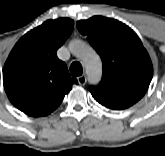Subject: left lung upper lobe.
<instances>
[{"instance_id":"left-lung-upper-lobe-1","label":"left lung upper lobe","mask_w":165,"mask_h":156,"mask_svg":"<svg viewBox=\"0 0 165 156\" xmlns=\"http://www.w3.org/2000/svg\"><path fill=\"white\" fill-rule=\"evenodd\" d=\"M76 26L103 62L101 82L89 87L95 100L114 110L138 102L149 87L153 67L136 33L122 22L102 16L77 21Z\"/></svg>"}]
</instances>
